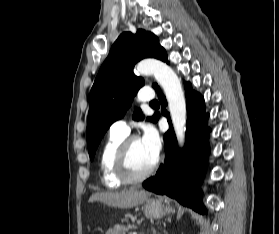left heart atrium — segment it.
Instances as JSON below:
<instances>
[{
    "mask_svg": "<svg viewBox=\"0 0 279 234\" xmlns=\"http://www.w3.org/2000/svg\"><path fill=\"white\" fill-rule=\"evenodd\" d=\"M140 140L157 158L161 149V141L157 130L151 125H145Z\"/></svg>",
    "mask_w": 279,
    "mask_h": 234,
    "instance_id": "left-heart-atrium-1",
    "label": "left heart atrium"
}]
</instances>
